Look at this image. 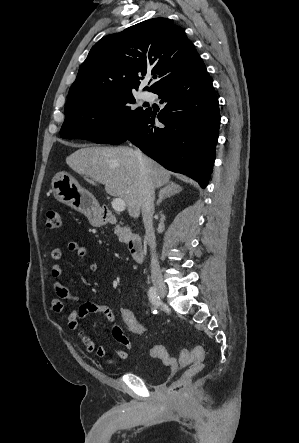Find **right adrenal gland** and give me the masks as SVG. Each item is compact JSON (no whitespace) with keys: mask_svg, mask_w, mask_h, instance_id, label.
I'll return each mask as SVG.
<instances>
[{"mask_svg":"<svg viewBox=\"0 0 299 443\" xmlns=\"http://www.w3.org/2000/svg\"><path fill=\"white\" fill-rule=\"evenodd\" d=\"M181 191L182 188L178 184L174 182H168L163 188L160 189L156 205L159 206L165 198L178 194Z\"/></svg>","mask_w":299,"mask_h":443,"instance_id":"2a0ac1e0","label":"right adrenal gland"}]
</instances>
